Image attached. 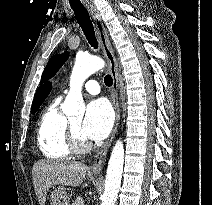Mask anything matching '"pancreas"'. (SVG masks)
Returning a JSON list of instances; mask_svg holds the SVG:
<instances>
[{"label": "pancreas", "mask_w": 212, "mask_h": 205, "mask_svg": "<svg viewBox=\"0 0 212 205\" xmlns=\"http://www.w3.org/2000/svg\"><path fill=\"white\" fill-rule=\"evenodd\" d=\"M72 205H84V200L82 198H77Z\"/></svg>", "instance_id": "cf45deb5"}]
</instances>
